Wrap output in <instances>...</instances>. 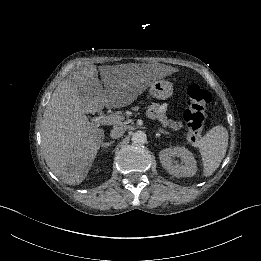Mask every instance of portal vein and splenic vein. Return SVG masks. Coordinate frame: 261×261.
Wrapping results in <instances>:
<instances>
[{
    "instance_id": "portal-vein-and-splenic-vein-1",
    "label": "portal vein and splenic vein",
    "mask_w": 261,
    "mask_h": 261,
    "mask_svg": "<svg viewBox=\"0 0 261 261\" xmlns=\"http://www.w3.org/2000/svg\"><path fill=\"white\" fill-rule=\"evenodd\" d=\"M142 114H145L149 116V118L154 119L155 115L152 112L142 111ZM97 122L100 125L106 126V125H112L115 123H121L122 121L120 118H115L114 116H103L97 119Z\"/></svg>"
}]
</instances>
